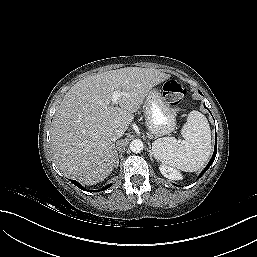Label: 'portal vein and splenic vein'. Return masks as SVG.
Returning <instances> with one entry per match:
<instances>
[{
  "mask_svg": "<svg viewBox=\"0 0 257 257\" xmlns=\"http://www.w3.org/2000/svg\"><path fill=\"white\" fill-rule=\"evenodd\" d=\"M122 95V93H119L117 91H114L112 94V102L115 104L117 103L119 97Z\"/></svg>",
  "mask_w": 257,
  "mask_h": 257,
  "instance_id": "obj_1",
  "label": "portal vein and splenic vein"
}]
</instances>
